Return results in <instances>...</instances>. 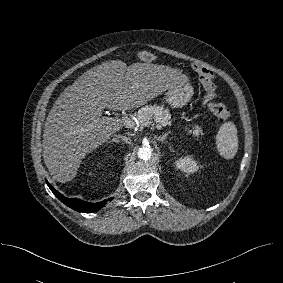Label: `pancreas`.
Returning <instances> with one entry per match:
<instances>
[{"label": "pancreas", "instance_id": "pancreas-1", "mask_svg": "<svg viewBox=\"0 0 283 283\" xmlns=\"http://www.w3.org/2000/svg\"><path fill=\"white\" fill-rule=\"evenodd\" d=\"M137 120L140 125H146L150 120H154L162 126H170L172 123L169 109H165L163 105H146L137 112ZM188 134L198 137L202 132L198 125H192V129L186 128Z\"/></svg>", "mask_w": 283, "mask_h": 283}]
</instances>
